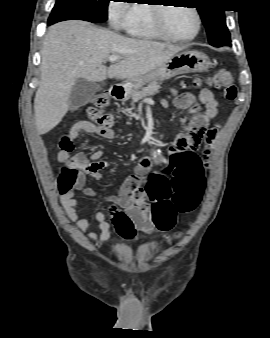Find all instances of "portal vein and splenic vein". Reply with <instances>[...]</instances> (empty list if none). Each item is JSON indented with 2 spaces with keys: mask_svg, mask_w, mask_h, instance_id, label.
Returning <instances> with one entry per match:
<instances>
[{
  "mask_svg": "<svg viewBox=\"0 0 270 338\" xmlns=\"http://www.w3.org/2000/svg\"><path fill=\"white\" fill-rule=\"evenodd\" d=\"M120 59V56H117V55H111L108 60L109 62H116L117 60Z\"/></svg>",
  "mask_w": 270,
  "mask_h": 338,
  "instance_id": "obj_1",
  "label": "portal vein and splenic vein"
}]
</instances>
